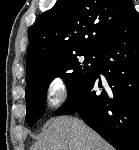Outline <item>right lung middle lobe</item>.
Masks as SVG:
<instances>
[{
  "label": "right lung middle lobe",
  "instance_id": "right-lung-middle-lobe-1",
  "mask_svg": "<svg viewBox=\"0 0 139 150\" xmlns=\"http://www.w3.org/2000/svg\"><path fill=\"white\" fill-rule=\"evenodd\" d=\"M84 56V60L78 57ZM98 51H85L55 58L26 77V122L32 127L45 112L46 91L51 81L61 77L68 94L83 84L94 72Z\"/></svg>",
  "mask_w": 139,
  "mask_h": 150
}]
</instances>
